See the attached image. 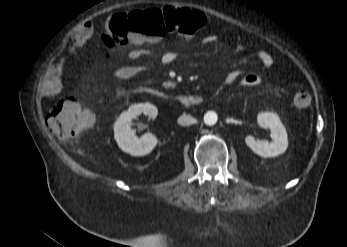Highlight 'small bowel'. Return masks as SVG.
I'll return each mask as SVG.
<instances>
[{
  "label": "small bowel",
  "mask_w": 347,
  "mask_h": 247,
  "mask_svg": "<svg viewBox=\"0 0 347 247\" xmlns=\"http://www.w3.org/2000/svg\"><path fill=\"white\" fill-rule=\"evenodd\" d=\"M93 33V24L88 21L78 27L71 35L68 47L72 50L78 48L86 43ZM218 41L216 34H209L204 37L203 43L206 45L214 44ZM127 56L131 60H142L138 64L123 65L115 67L112 71V77L117 80H129L135 78L146 71L153 63V53L147 49L134 48L127 52ZM261 66L264 69L270 68L274 59L273 56L266 52L261 51L257 55ZM176 58L175 53L167 51L161 54L160 61L163 64H170ZM64 66V60L59 59L54 63L47 66L43 75V89L47 95H55L60 91V75ZM242 83L245 86H258L262 82V77L254 72H232L226 77L227 84Z\"/></svg>",
  "instance_id": "c3829d8e"
}]
</instances>
